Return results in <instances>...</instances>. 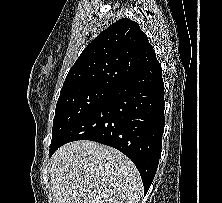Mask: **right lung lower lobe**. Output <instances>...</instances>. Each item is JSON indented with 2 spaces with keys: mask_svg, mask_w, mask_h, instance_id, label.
Here are the masks:
<instances>
[{
  "mask_svg": "<svg viewBox=\"0 0 222 203\" xmlns=\"http://www.w3.org/2000/svg\"><path fill=\"white\" fill-rule=\"evenodd\" d=\"M164 123V83L156 60L122 80L104 101L66 129L50 145V156L76 140L109 145L133 161L146 194L157 170Z\"/></svg>",
  "mask_w": 222,
  "mask_h": 203,
  "instance_id": "1",
  "label": "right lung lower lobe"
}]
</instances>
